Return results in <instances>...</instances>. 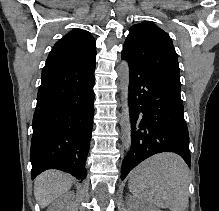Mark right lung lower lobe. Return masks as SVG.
I'll use <instances>...</instances> for the list:
<instances>
[{
    "mask_svg": "<svg viewBox=\"0 0 219 211\" xmlns=\"http://www.w3.org/2000/svg\"><path fill=\"white\" fill-rule=\"evenodd\" d=\"M95 61L42 70L33 118L32 178L50 168L85 179L94 116Z\"/></svg>",
    "mask_w": 219,
    "mask_h": 211,
    "instance_id": "98d812e1",
    "label": "right lung lower lobe"
}]
</instances>
